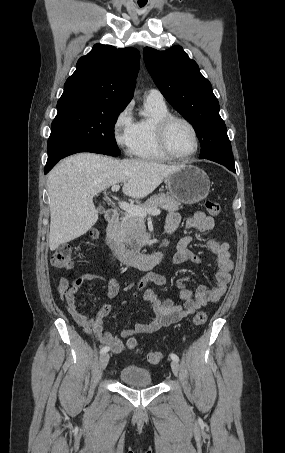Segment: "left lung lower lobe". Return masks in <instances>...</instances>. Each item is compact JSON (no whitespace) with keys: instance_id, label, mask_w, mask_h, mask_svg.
<instances>
[{"instance_id":"1","label":"left lung lower lobe","mask_w":285,"mask_h":453,"mask_svg":"<svg viewBox=\"0 0 285 453\" xmlns=\"http://www.w3.org/2000/svg\"><path fill=\"white\" fill-rule=\"evenodd\" d=\"M206 159L214 161V162H217V163H219L221 165H224L229 170L235 172L234 160L231 161V160H228V159H226V158H224L222 156H219V155L211 156V157H208Z\"/></svg>"}]
</instances>
